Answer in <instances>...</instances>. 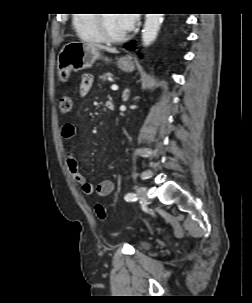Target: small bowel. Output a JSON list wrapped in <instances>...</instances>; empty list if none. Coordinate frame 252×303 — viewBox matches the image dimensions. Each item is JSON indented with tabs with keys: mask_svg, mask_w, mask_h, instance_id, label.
I'll return each mask as SVG.
<instances>
[{
	"mask_svg": "<svg viewBox=\"0 0 252 303\" xmlns=\"http://www.w3.org/2000/svg\"><path fill=\"white\" fill-rule=\"evenodd\" d=\"M93 83L94 76L91 73H84L82 75L79 89L81 97H85L89 93ZM61 133L64 139L71 140L76 134V127L73 123L66 122L62 125ZM65 162L73 181L81 186L85 195L92 197H105L113 192L115 184L112 180H103L96 186L89 183L85 176L80 172L77 159L74 157V153L71 150L68 151Z\"/></svg>",
	"mask_w": 252,
	"mask_h": 303,
	"instance_id": "obj_1",
	"label": "small bowel"
}]
</instances>
